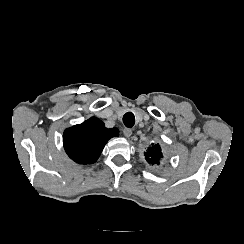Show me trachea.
Returning <instances> with one entry per match:
<instances>
[{"instance_id": "trachea-1", "label": "trachea", "mask_w": 244, "mask_h": 244, "mask_svg": "<svg viewBox=\"0 0 244 244\" xmlns=\"http://www.w3.org/2000/svg\"><path fill=\"white\" fill-rule=\"evenodd\" d=\"M123 122L124 125L128 128L133 127V125L135 124V116L133 113L131 112H127L124 116H123Z\"/></svg>"}]
</instances>
